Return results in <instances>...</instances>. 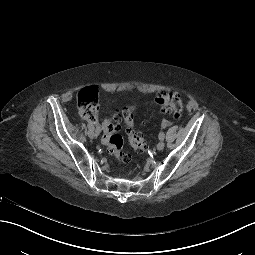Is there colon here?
I'll list each match as a JSON object with an SVG mask.
<instances>
[{
    "instance_id": "obj_1",
    "label": "colon",
    "mask_w": 255,
    "mask_h": 255,
    "mask_svg": "<svg viewBox=\"0 0 255 255\" xmlns=\"http://www.w3.org/2000/svg\"><path fill=\"white\" fill-rule=\"evenodd\" d=\"M156 104L165 112L174 117H180L183 111V103L176 93H160L155 97ZM77 106L80 114L89 120L95 121L98 113V90L96 87L82 89L77 96ZM134 107L127 106L122 111V119L127 128V137L130 145L139 153L146 150L147 144L142 136L134 129L133 119ZM116 118L110 117L103 121L101 125L102 143L109 149L114 157L122 163L130 161V155L122 151L123 139L118 134Z\"/></svg>"
}]
</instances>
